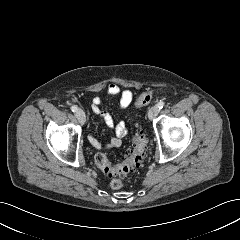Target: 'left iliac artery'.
Returning <instances> with one entry per match:
<instances>
[{"instance_id": "44dca946", "label": "left iliac artery", "mask_w": 240, "mask_h": 240, "mask_svg": "<svg viewBox=\"0 0 240 240\" xmlns=\"http://www.w3.org/2000/svg\"><path fill=\"white\" fill-rule=\"evenodd\" d=\"M157 106H158V108L159 109H162L164 106H165V102H159L158 104H157Z\"/></svg>"}]
</instances>
